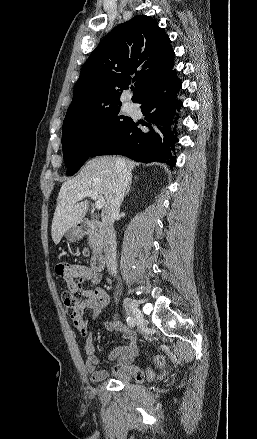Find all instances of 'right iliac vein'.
<instances>
[{
	"label": "right iliac vein",
	"mask_w": 257,
	"mask_h": 439,
	"mask_svg": "<svg viewBox=\"0 0 257 439\" xmlns=\"http://www.w3.org/2000/svg\"><path fill=\"white\" fill-rule=\"evenodd\" d=\"M123 307L126 313L134 317L140 323L141 326H144L146 324V320L143 314L141 313V311L139 310L138 302L136 300L130 298H124Z\"/></svg>",
	"instance_id": "right-iliac-vein-1"
}]
</instances>
